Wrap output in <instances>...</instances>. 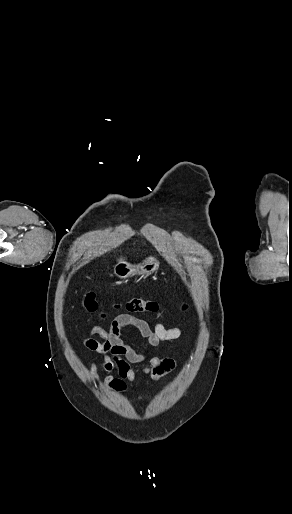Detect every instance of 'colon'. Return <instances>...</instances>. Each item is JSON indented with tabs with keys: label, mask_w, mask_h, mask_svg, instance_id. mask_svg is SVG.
Here are the masks:
<instances>
[{
	"label": "colon",
	"mask_w": 292,
	"mask_h": 514,
	"mask_svg": "<svg viewBox=\"0 0 292 514\" xmlns=\"http://www.w3.org/2000/svg\"><path fill=\"white\" fill-rule=\"evenodd\" d=\"M85 306L89 312L97 311L98 303L96 302L93 294L89 293L86 296ZM125 309L129 313H154L159 310V304L157 301L152 299L134 296L125 303Z\"/></svg>",
	"instance_id": "5ec220e1"
}]
</instances>
